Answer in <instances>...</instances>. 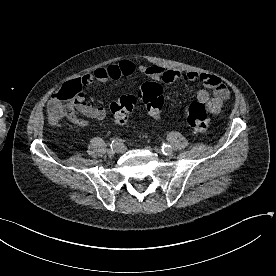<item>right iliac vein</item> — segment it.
Here are the masks:
<instances>
[{"label":"right iliac vein","mask_w":276,"mask_h":276,"mask_svg":"<svg viewBox=\"0 0 276 276\" xmlns=\"http://www.w3.org/2000/svg\"><path fill=\"white\" fill-rule=\"evenodd\" d=\"M123 150V147H113L111 149H108V154L113 155L116 152H121Z\"/></svg>","instance_id":"obj_1"}]
</instances>
